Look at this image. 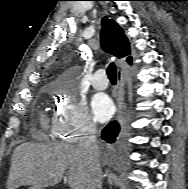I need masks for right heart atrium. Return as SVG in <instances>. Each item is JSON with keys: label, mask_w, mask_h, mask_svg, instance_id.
Returning <instances> with one entry per match:
<instances>
[{"label": "right heart atrium", "mask_w": 188, "mask_h": 189, "mask_svg": "<svg viewBox=\"0 0 188 189\" xmlns=\"http://www.w3.org/2000/svg\"><path fill=\"white\" fill-rule=\"evenodd\" d=\"M54 132L68 142H76L95 133L96 124L86 106L66 92L59 94L53 119Z\"/></svg>", "instance_id": "d8ad5b80"}]
</instances>
